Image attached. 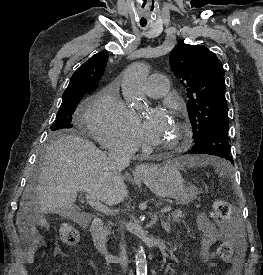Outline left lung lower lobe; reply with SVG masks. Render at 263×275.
<instances>
[{"instance_id":"left-lung-lower-lobe-1","label":"left lung lower lobe","mask_w":263,"mask_h":275,"mask_svg":"<svg viewBox=\"0 0 263 275\" xmlns=\"http://www.w3.org/2000/svg\"><path fill=\"white\" fill-rule=\"evenodd\" d=\"M228 130V124L215 127L213 130L195 141L194 146L188 151V153L215 155L225 158L233 163V159L230 154V137L228 135Z\"/></svg>"}]
</instances>
